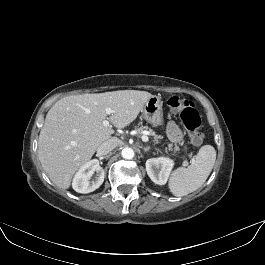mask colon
Wrapping results in <instances>:
<instances>
[{
    "instance_id": "1",
    "label": "colon",
    "mask_w": 265,
    "mask_h": 265,
    "mask_svg": "<svg viewBox=\"0 0 265 265\" xmlns=\"http://www.w3.org/2000/svg\"><path fill=\"white\" fill-rule=\"evenodd\" d=\"M167 105L173 112L180 115L192 143L195 145L202 144L204 135L199 131L201 119L195 104L184 97L172 96L168 99Z\"/></svg>"
}]
</instances>
